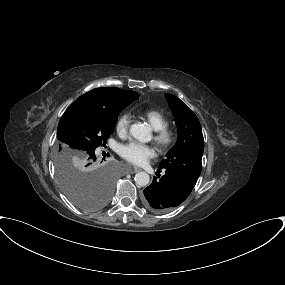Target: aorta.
I'll list each match as a JSON object with an SVG mask.
<instances>
[{"instance_id": "1", "label": "aorta", "mask_w": 285, "mask_h": 285, "mask_svg": "<svg viewBox=\"0 0 285 285\" xmlns=\"http://www.w3.org/2000/svg\"><path fill=\"white\" fill-rule=\"evenodd\" d=\"M130 134L135 139L141 142H148L151 140V129L148 125L137 123L130 126ZM150 177L146 172H138L135 175V182L138 186H146L149 184Z\"/></svg>"}]
</instances>
